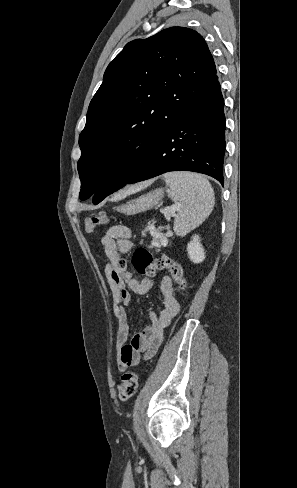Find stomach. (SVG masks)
Wrapping results in <instances>:
<instances>
[{
	"instance_id": "stomach-1",
	"label": "stomach",
	"mask_w": 297,
	"mask_h": 488,
	"mask_svg": "<svg viewBox=\"0 0 297 488\" xmlns=\"http://www.w3.org/2000/svg\"><path fill=\"white\" fill-rule=\"evenodd\" d=\"M164 196V189L158 188L120 205L117 211L125 215H135L154 208Z\"/></svg>"
}]
</instances>
